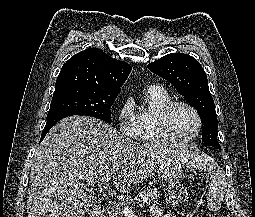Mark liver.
Segmentation results:
<instances>
[{"label": "liver", "mask_w": 255, "mask_h": 217, "mask_svg": "<svg viewBox=\"0 0 255 217\" xmlns=\"http://www.w3.org/2000/svg\"><path fill=\"white\" fill-rule=\"evenodd\" d=\"M171 154L199 157L186 144L137 143L102 121L71 116L59 121L36 150L28 187V217H83L90 207L85 188L113 176L128 192L156 172Z\"/></svg>", "instance_id": "obj_1"}]
</instances>
